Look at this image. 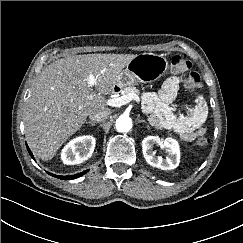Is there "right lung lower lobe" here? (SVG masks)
<instances>
[{
	"label": "right lung lower lobe",
	"mask_w": 243,
	"mask_h": 243,
	"mask_svg": "<svg viewBox=\"0 0 243 243\" xmlns=\"http://www.w3.org/2000/svg\"><path fill=\"white\" fill-rule=\"evenodd\" d=\"M27 150H28L30 156L34 159V157H33L32 153H31L30 149L28 148V146H27ZM86 172H87V171H84V172H82V173L75 174V175H72V176H58V175H54V174H51V173H48V174H50V175H52V176H54V177L60 178V179L71 180V179H75V178H78V177L82 176V175L85 174Z\"/></svg>",
	"instance_id": "obj_1"
}]
</instances>
